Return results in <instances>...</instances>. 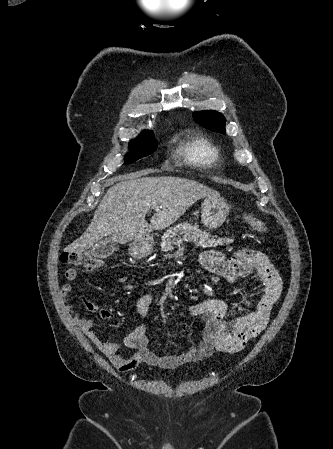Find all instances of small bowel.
I'll return each instance as SVG.
<instances>
[{"instance_id":"1","label":"small bowel","mask_w":333,"mask_h":449,"mask_svg":"<svg viewBox=\"0 0 333 449\" xmlns=\"http://www.w3.org/2000/svg\"><path fill=\"white\" fill-rule=\"evenodd\" d=\"M200 264L205 271L218 275L230 283L244 276H256L260 283L259 301L253 312L230 321L224 319L227 306L221 300L210 299L190 305L189 313L202 316L204 319V333L198 343L191 342L186 350L175 355L159 353L153 348L146 332L147 323L140 324L125 336V345L134 349L135 352L130 356L122 355L119 344L102 341L93 330L92 321L82 317L71 307L68 302V296L73 289L71 284H64L59 295L73 322L120 371H131L141 364L163 369L176 368L185 363L197 362L209 357L215 351L242 350L249 340L257 337L266 328L271 311L283 290L282 281L274 264L264 254L253 249L243 248L229 259H226L219 251H205L200 256ZM65 277L69 281H74L77 278V271L69 268L65 272ZM80 300L88 311H98L103 319L113 316L110 310L99 309L82 294ZM152 303L151 294H145L139 299L137 308L144 319H148ZM182 327L187 329L185 323H182Z\"/></svg>"}]
</instances>
